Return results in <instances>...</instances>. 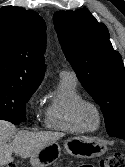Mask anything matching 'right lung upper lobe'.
I'll return each mask as SVG.
<instances>
[{
	"label": "right lung upper lobe",
	"instance_id": "1",
	"mask_svg": "<svg viewBox=\"0 0 125 167\" xmlns=\"http://www.w3.org/2000/svg\"><path fill=\"white\" fill-rule=\"evenodd\" d=\"M46 25L34 11L0 8V86L36 90L43 79Z\"/></svg>",
	"mask_w": 125,
	"mask_h": 167
}]
</instances>
